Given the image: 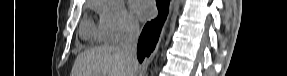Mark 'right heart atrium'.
I'll return each mask as SVG.
<instances>
[{"instance_id": "obj_1", "label": "right heart atrium", "mask_w": 287, "mask_h": 76, "mask_svg": "<svg viewBox=\"0 0 287 76\" xmlns=\"http://www.w3.org/2000/svg\"><path fill=\"white\" fill-rule=\"evenodd\" d=\"M95 9L99 13V27L106 41L115 43L138 33V20L117 1L98 0Z\"/></svg>"}]
</instances>
